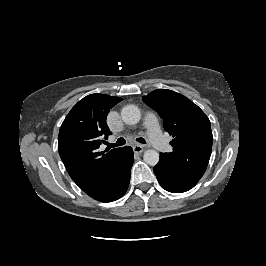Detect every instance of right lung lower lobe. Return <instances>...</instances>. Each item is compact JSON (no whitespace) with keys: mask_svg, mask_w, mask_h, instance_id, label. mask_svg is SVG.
<instances>
[{"mask_svg":"<svg viewBox=\"0 0 266 266\" xmlns=\"http://www.w3.org/2000/svg\"><path fill=\"white\" fill-rule=\"evenodd\" d=\"M133 150L123 147L105 188L92 197L100 202H111L122 197L128 189L131 167L133 165Z\"/></svg>","mask_w":266,"mask_h":266,"instance_id":"98d812e1","label":"right lung lower lobe"}]
</instances>
